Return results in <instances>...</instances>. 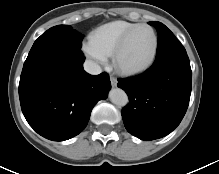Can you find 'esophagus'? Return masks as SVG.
<instances>
[{
    "instance_id": "1",
    "label": "esophagus",
    "mask_w": 219,
    "mask_h": 174,
    "mask_svg": "<svg viewBox=\"0 0 219 174\" xmlns=\"http://www.w3.org/2000/svg\"><path fill=\"white\" fill-rule=\"evenodd\" d=\"M110 81L113 87H115L117 85V79L114 76H110Z\"/></svg>"
}]
</instances>
